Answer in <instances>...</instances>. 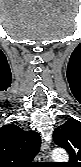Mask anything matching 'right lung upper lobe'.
I'll use <instances>...</instances> for the list:
<instances>
[{"instance_id": "1", "label": "right lung upper lobe", "mask_w": 81, "mask_h": 167, "mask_svg": "<svg viewBox=\"0 0 81 167\" xmlns=\"http://www.w3.org/2000/svg\"><path fill=\"white\" fill-rule=\"evenodd\" d=\"M40 135L8 124L0 128V167H33L40 149Z\"/></svg>"}]
</instances>
